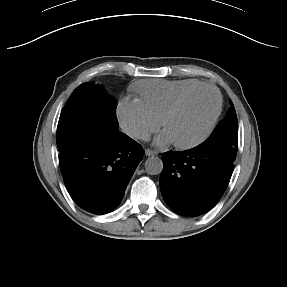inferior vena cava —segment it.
<instances>
[{"mask_svg": "<svg viewBox=\"0 0 287 287\" xmlns=\"http://www.w3.org/2000/svg\"><path fill=\"white\" fill-rule=\"evenodd\" d=\"M124 132L131 138L141 139L145 141L150 140V134L144 129L135 125L126 126L124 128Z\"/></svg>", "mask_w": 287, "mask_h": 287, "instance_id": "1", "label": "inferior vena cava"}]
</instances>
